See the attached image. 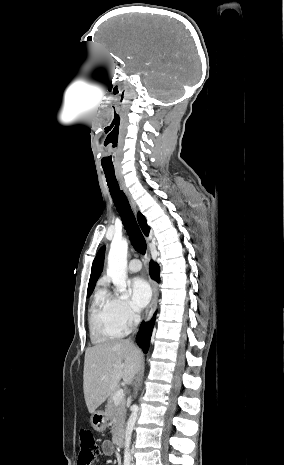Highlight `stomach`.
<instances>
[{
  "label": "stomach",
  "instance_id": "stomach-1",
  "mask_svg": "<svg viewBox=\"0 0 284 465\" xmlns=\"http://www.w3.org/2000/svg\"><path fill=\"white\" fill-rule=\"evenodd\" d=\"M90 423L94 431L98 433H103L107 427V419L104 415V411H95L90 417Z\"/></svg>",
  "mask_w": 284,
  "mask_h": 465
}]
</instances>
